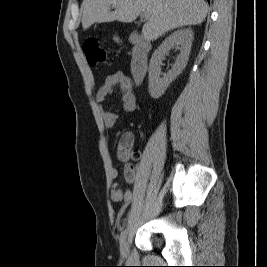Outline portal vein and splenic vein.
<instances>
[{
    "mask_svg": "<svg viewBox=\"0 0 267 267\" xmlns=\"http://www.w3.org/2000/svg\"><path fill=\"white\" fill-rule=\"evenodd\" d=\"M141 17L146 18L147 17L146 13H141Z\"/></svg>",
    "mask_w": 267,
    "mask_h": 267,
    "instance_id": "18ae733b",
    "label": "portal vein and splenic vein"
}]
</instances>
